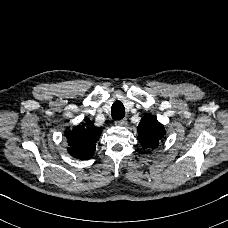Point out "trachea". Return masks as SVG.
I'll return each instance as SVG.
<instances>
[{"label":"trachea","instance_id":"1","mask_svg":"<svg viewBox=\"0 0 228 228\" xmlns=\"http://www.w3.org/2000/svg\"><path fill=\"white\" fill-rule=\"evenodd\" d=\"M112 118L116 121H119L125 116V109L123 104L120 101H116L113 103L111 107Z\"/></svg>","mask_w":228,"mask_h":228}]
</instances>
